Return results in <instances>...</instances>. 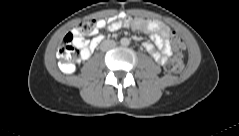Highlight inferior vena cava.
Masks as SVG:
<instances>
[{
    "label": "inferior vena cava",
    "mask_w": 239,
    "mask_h": 136,
    "mask_svg": "<svg viewBox=\"0 0 239 136\" xmlns=\"http://www.w3.org/2000/svg\"><path fill=\"white\" fill-rule=\"evenodd\" d=\"M116 45L115 41L113 40H105L101 43L100 48L103 51H106Z\"/></svg>",
    "instance_id": "obj_1"
}]
</instances>
